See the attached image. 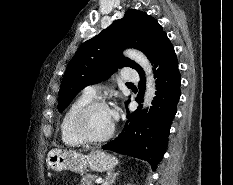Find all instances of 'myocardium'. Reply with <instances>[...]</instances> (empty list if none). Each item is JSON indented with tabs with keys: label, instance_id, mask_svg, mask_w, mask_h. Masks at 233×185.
<instances>
[{
	"label": "myocardium",
	"instance_id": "1",
	"mask_svg": "<svg viewBox=\"0 0 233 185\" xmlns=\"http://www.w3.org/2000/svg\"><path fill=\"white\" fill-rule=\"evenodd\" d=\"M96 108H105L109 110L107 104L102 101H90L78 111V113L74 118L73 121L74 132L77 135V137L84 143H89V144L102 143L112 138L115 133L116 127H115V123L113 122V126L111 130L106 135L102 137H92L91 135H89L86 129L85 121L89 113Z\"/></svg>",
	"mask_w": 233,
	"mask_h": 185
}]
</instances>
